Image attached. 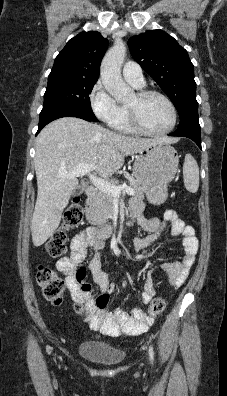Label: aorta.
<instances>
[{
  "mask_svg": "<svg viewBox=\"0 0 227 396\" xmlns=\"http://www.w3.org/2000/svg\"><path fill=\"white\" fill-rule=\"evenodd\" d=\"M126 55L123 42H116L106 53L101 63V80L106 91L117 102H125L132 95V90L124 83L121 66Z\"/></svg>",
  "mask_w": 227,
  "mask_h": 396,
  "instance_id": "obj_1",
  "label": "aorta"
}]
</instances>
